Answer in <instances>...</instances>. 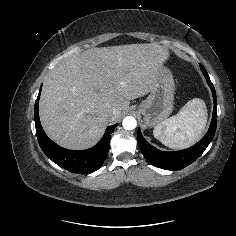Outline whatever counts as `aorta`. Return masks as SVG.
<instances>
[{"instance_id":"aorta-1","label":"aorta","mask_w":236,"mask_h":236,"mask_svg":"<svg viewBox=\"0 0 236 236\" xmlns=\"http://www.w3.org/2000/svg\"><path fill=\"white\" fill-rule=\"evenodd\" d=\"M122 125H123V128L126 130H133L137 126V121L134 117L127 116L123 119Z\"/></svg>"}]
</instances>
